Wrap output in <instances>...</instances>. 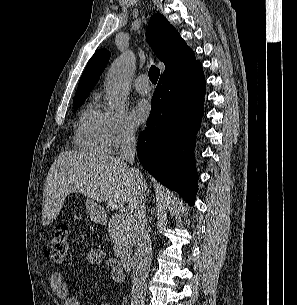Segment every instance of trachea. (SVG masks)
<instances>
[{"label": "trachea", "mask_w": 297, "mask_h": 305, "mask_svg": "<svg viewBox=\"0 0 297 305\" xmlns=\"http://www.w3.org/2000/svg\"><path fill=\"white\" fill-rule=\"evenodd\" d=\"M160 75V70L152 65L149 70V79L153 84H156Z\"/></svg>", "instance_id": "1"}]
</instances>
